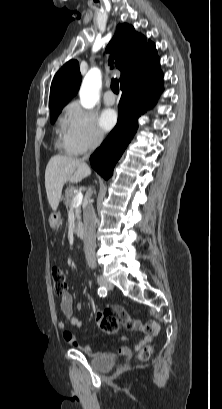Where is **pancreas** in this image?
Listing matches in <instances>:
<instances>
[{"mask_svg":"<svg viewBox=\"0 0 222 409\" xmlns=\"http://www.w3.org/2000/svg\"><path fill=\"white\" fill-rule=\"evenodd\" d=\"M75 188L69 187L65 190V196L63 198L67 209L74 208L75 217L78 221H81V206L73 207L72 201L75 197Z\"/></svg>","mask_w":222,"mask_h":409,"instance_id":"obj_1","label":"pancreas"}]
</instances>
